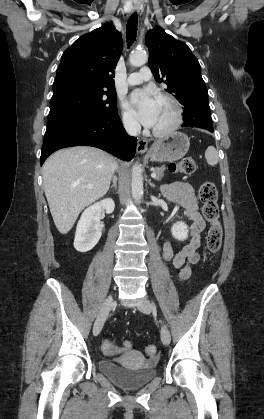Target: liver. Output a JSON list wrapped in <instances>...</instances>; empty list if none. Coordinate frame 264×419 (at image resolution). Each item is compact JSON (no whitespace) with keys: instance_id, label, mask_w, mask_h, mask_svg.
Returning <instances> with one entry per match:
<instances>
[{"instance_id":"obj_1","label":"liver","mask_w":264,"mask_h":419,"mask_svg":"<svg viewBox=\"0 0 264 419\" xmlns=\"http://www.w3.org/2000/svg\"><path fill=\"white\" fill-rule=\"evenodd\" d=\"M114 163L111 155L89 146L59 150L45 161L42 168L44 191L61 234L71 230L86 206L107 193Z\"/></svg>"}]
</instances>
